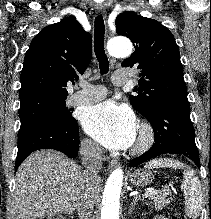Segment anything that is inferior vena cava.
Here are the masks:
<instances>
[{"instance_id": "1", "label": "inferior vena cava", "mask_w": 211, "mask_h": 219, "mask_svg": "<svg viewBox=\"0 0 211 219\" xmlns=\"http://www.w3.org/2000/svg\"><path fill=\"white\" fill-rule=\"evenodd\" d=\"M84 166L85 185L77 201L79 219H91L94 208V191L98 186L100 177L98 172L102 167V149L91 140H84L79 150Z\"/></svg>"}]
</instances>
